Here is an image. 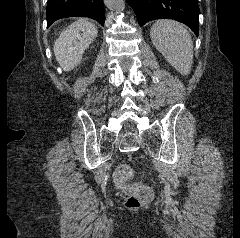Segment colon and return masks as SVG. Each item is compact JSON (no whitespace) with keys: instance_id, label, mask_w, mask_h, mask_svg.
Segmentation results:
<instances>
[{"instance_id":"colon-1","label":"colon","mask_w":240,"mask_h":238,"mask_svg":"<svg viewBox=\"0 0 240 238\" xmlns=\"http://www.w3.org/2000/svg\"><path fill=\"white\" fill-rule=\"evenodd\" d=\"M133 170L127 165L119 166L114 173L116 185L125 192V204L128 207H139L148 204L153 199L150 186L141 182H131Z\"/></svg>"}]
</instances>
